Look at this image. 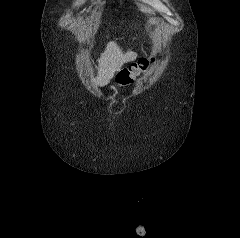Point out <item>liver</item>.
<instances>
[{
	"label": "liver",
	"mask_w": 240,
	"mask_h": 238,
	"mask_svg": "<svg viewBox=\"0 0 240 238\" xmlns=\"http://www.w3.org/2000/svg\"><path fill=\"white\" fill-rule=\"evenodd\" d=\"M136 58L137 53L131 50L123 53L116 42L110 41L98 59V73L94 83L100 87L109 84L115 72L120 71L124 63L134 61Z\"/></svg>",
	"instance_id": "6515ba94"
}]
</instances>
